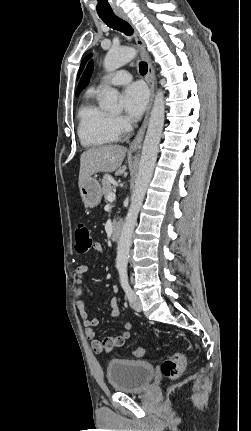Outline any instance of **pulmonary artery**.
I'll return each mask as SVG.
<instances>
[{
    "label": "pulmonary artery",
    "instance_id": "1",
    "mask_svg": "<svg viewBox=\"0 0 251 431\" xmlns=\"http://www.w3.org/2000/svg\"><path fill=\"white\" fill-rule=\"evenodd\" d=\"M131 79H132V76L129 72H127L125 70H119V71L107 76L106 82L113 84V85H123V84L130 82Z\"/></svg>",
    "mask_w": 251,
    "mask_h": 431
}]
</instances>
